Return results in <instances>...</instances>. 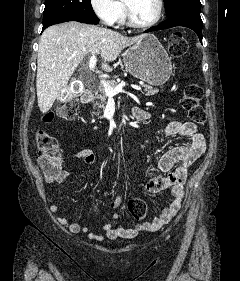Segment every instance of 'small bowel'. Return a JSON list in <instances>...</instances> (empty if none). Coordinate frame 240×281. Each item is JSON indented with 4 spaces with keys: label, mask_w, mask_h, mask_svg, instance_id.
Masks as SVG:
<instances>
[{
    "label": "small bowel",
    "mask_w": 240,
    "mask_h": 281,
    "mask_svg": "<svg viewBox=\"0 0 240 281\" xmlns=\"http://www.w3.org/2000/svg\"><path fill=\"white\" fill-rule=\"evenodd\" d=\"M141 110V109H140ZM142 120L152 117L151 113L141 110ZM165 137L181 136L187 138L186 144L177 146L165 153L159 161V170L166 175L162 176L152 172L144 185L145 190L151 194H158L166 189L171 190L172 199L170 204L151 222H145L130 228L114 227L111 222L102 226L103 235L91 232L89 227H82L78 223H69L64 217L57 216L60 224L66 225L71 233H85L90 239H131L143 231H156L169 223L178 213L184 197V184L189 176L192 165L198 160L206 149L205 138L198 132L197 126L193 122L171 121L163 131ZM72 159H79L88 165L96 162V155L92 149H82L71 155ZM73 175L72 171L59 167L58 172L51 176L46 175L49 184H65ZM122 203V196L119 194L111 202L110 208L116 209ZM51 211L58 213V207L51 205ZM117 215H112V220H116Z\"/></svg>",
    "instance_id": "c3829d8e"
}]
</instances>
